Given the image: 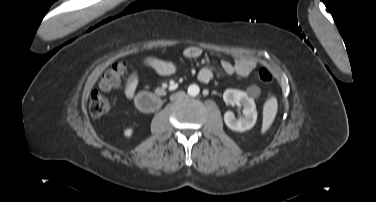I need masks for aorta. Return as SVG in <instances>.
I'll list each match as a JSON object with an SVG mask.
<instances>
[{
    "instance_id": "obj_1",
    "label": "aorta",
    "mask_w": 376,
    "mask_h": 202,
    "mask_svg": "<svg viewBox=\"0 0 376 202\" xmlns=\"http://www.w3.org/2000/svg\"><path fill=\"white\" fill-rule=\"evenodd\" d=\"M199 91H200V89L196 84L190 85L188 87V90H187V92L190 96H197L199 94Z\"/></svg>"
}]
</instances>
